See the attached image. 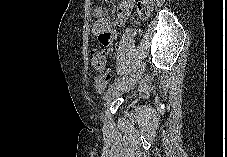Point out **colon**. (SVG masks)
Instances as JSON below:
<instances>
[{"mask_svg": "<svg viewBox=\"0 0 227 157\" xmlns=\"http://www.w3.org/2000/svg\"><path fill=\"white\" fill-rule=\"evenodd\" d=\"M154 0H139L137 3V14L139 19L148 18L153 11ZM106 63L105 53L99 50H93L91 64L95 70H102ZM109 82L108 74H101L94 79V88L97 92L102 93Z\"/></svg>", "mask_w": 227, "mask_h": 157, "instance_id": "colon-1", "label": "colon"}]
</instances>
